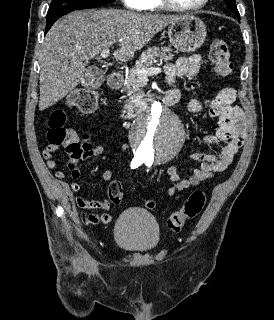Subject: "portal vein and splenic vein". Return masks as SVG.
<instances>
[{
	"label": "portal vein and splenic vein",
	"instance_id": "portal-vein-and-splenic-vein-1",
	"mask_svg": "<svg viewBox=\"0 0 274 320\" xmlns=\"http://www.w3.org/2000/svg\"><path fill=\"white\" fill-rule=\"evenodd\" d=\"M109 54L110 50L107 48V50L101 52L100 56L104 60V58H108ZM157 66H160V64H157ZM155 70H161V68H142V70H136L135 74H137L139 78H147L148 74H150V72H155Z\"/></svg>",
	"mask_w": 274,
	"mask_h": 320
}]
</instances>
